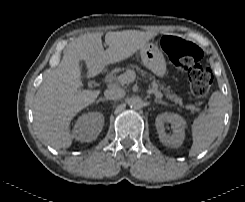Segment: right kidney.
<instances>
[{"label": "right kidney", "mask_w": 245, "mask_h": 202, "mask_svg": "<svg viewBox=\"0 0 245 202\" xmlns=\"http://www.w3.org/2000/svg\"><path fill=\"white\" fill-rule=\"evenodd\" d=\"M104 126V116L99 112L83 114L73 129V138L80 142H92L97 139Z\"/></svg>", "instance_id": "ca27d5eb"}]
</instances>
